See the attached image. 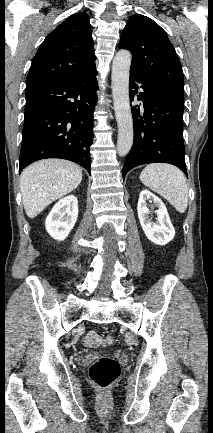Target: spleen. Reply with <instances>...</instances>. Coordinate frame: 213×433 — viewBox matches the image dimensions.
I'll return each instance as SVG.
<instances>
[{"label": "spleen", "mask_w": 213, "mask_h": 433, "mask_svg": "<svg viewBox=\"0 0 213 433\" xmlns=\"http://www.w3.org/2000/svg\"><path fill=\"white\" fill-rule=\"evenodd\" d=\"M141 182L167 199L174 208L184 213L188 205V187L182 171L168 164L147 165L140 174Z\"/></svg>", "instance_id": "obj_1"}]
</instances>
